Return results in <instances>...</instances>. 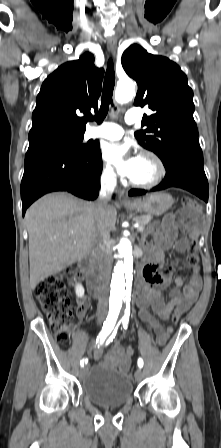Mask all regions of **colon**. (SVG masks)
I'll use <instances>...</instances> for the list:
<instances>
[{
  "instance_id": "obj_1",
  "label": "colon",
  "mask_w": 221,
  "mask_h": 448,
  "mask_svg": "<svg viewBox=\"0 0 221 448\" xmlns=\"http://www.w3.org/2000/svg\"><path fill=\"white\" fill-rule=\"evenodd\" d=\"M201 208L199 204L190 199H183V210L178 212L175 221L180 224H194L198 226L192 217H199ZM187 261L190 265L196 266L199 263L196 242H191L188 247ZM71 270L51 275L42 280L35 287L34 294L45 312L51 329L59 343H66L69 339L70 329L74 318L75 308L67 295L66 279L72 274ZM177 323L179 317H172Z\"/></svg>"
}]
</instances>
